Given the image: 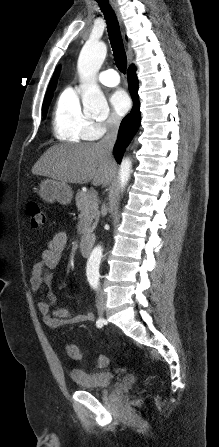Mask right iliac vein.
I'll return each instance as SVG.
<instances>
[{"label":"right iliac vein","instance_id":"right-iliac-vein-1","mask_svg":"<svg viewBox=\"0 0 219 447\" xmlns=\"http://www.w3.org/2000/svg\"><path fill=\"white\" fill-rule=\"evenodd\" d=\"M104 312V308L103 307H99V313L102 315Z\"/></svg>","mask_w":219,"mask_h":447}]
</instances>
